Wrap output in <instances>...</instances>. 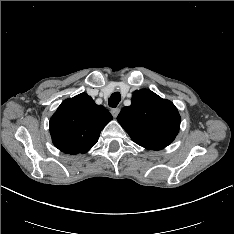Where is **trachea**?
Segmentation results:
<instances>
[{
  "label": "trachea",
  "mask_w": 234,
  "mask_h": 234,
  "mask_svg": "<svg viewBox=\"0 0 234 234\" xmlns=\"http://www.w3.org/2000/svg\"><path fill=\"white\" fill-rule=\"evenodd\" d=\"M121 100V95L119 92H114L108 99V104L111 108H116Z\"/></svg>",
  "instance_id": "trachea-1"
}]
</instances>
